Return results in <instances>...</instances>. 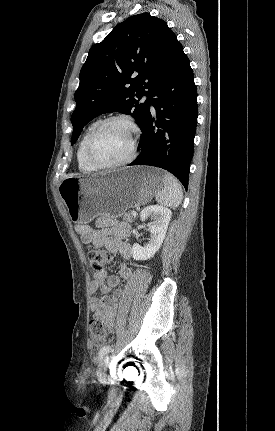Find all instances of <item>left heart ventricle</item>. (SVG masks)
Wrapping results in <instances>:
<instances>
[{
    "mask_svg": "<svg viewBox=\"0 0 275 431\" xmlns=\"http://www.w3.org/2000/svg\"><path fill=\"white\" fill-rule=\"evenodd\" d=\"M131 131L122 122L104 126L94 138L91 155L99 163H117L124 160L131 150Z\"/></svg>",
    "mask_w": 275,
    "mask_h": 431,
    "instance_id": "left-heart-ventricle-1",
    "label": "left heart ventricle"
}]
</instances>
